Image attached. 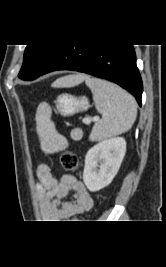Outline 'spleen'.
Listing matches in <instances>:
<instances>
[{
	"label": "spleen",
	"mask_w": 166,
	"mask_h": 267,
	"mask_svg": "<svg viewBox=\"0 0 166 267\" xmlns=\"http://www.w3.org/2000/svg\"><path fill=\"white\" fill-rule=\"evenodd\" d=\"M86 84L93 93L97 111L103 115V119L92 128L90 141H99L128 131L137 115L135 99L122 88L102 79L87 77ZM37 131L41 147L46 152L63 150L68 145L66 138L55 130L47 115H40Z\"/></svg>",
	"instance_id": "obj_1"
}]
</instances>
